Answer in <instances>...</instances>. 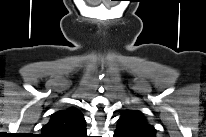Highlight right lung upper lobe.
I'll return each instance as SVG.
<instances>
[{
	"label": "right lung upper lobe",
	"mask_w": 206,
	"mask_h": 137,
	"mask_svg": "<svg viewBox=\"0 0 206 137\" xmlns=\"http://www.w3.org/2000/svg\"><path fill=\"white\" fill-rule=\"evenodd\" d=\"M85 135L84 116L74 107L57 111L42 128L44 137H85Z\"/></svg>",
	"instance_id": "obj_1"
}]
</instances>
